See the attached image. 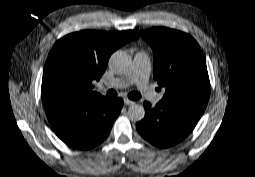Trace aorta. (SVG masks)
I'll return each instance as SVG.
<instances>
[{"label":"aorta","mask_w":255,"mask_h":177,"mask_svg":"<svg viewBox=\"0 0 255 177\" xmlns=\"http://www.w3.org/2000/svg\"><path fill=\"white\" fill-rule=\"evenodd\" d=\"M130 63V55L122 50L114 52L109 60V64L117 73L122 72V70L128 67ZM127 116L132 122H139L145 116V109L143 106L134 103L129 107Z\"/></svg>","instance_id":"1"}]
</instances>
